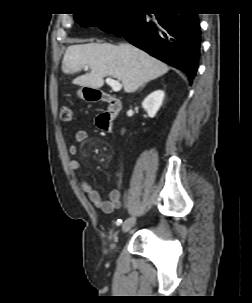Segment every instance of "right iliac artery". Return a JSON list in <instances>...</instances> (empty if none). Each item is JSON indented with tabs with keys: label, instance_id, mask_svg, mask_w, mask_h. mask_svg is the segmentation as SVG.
I'll list each match as a JSON object with an SVG mask.
<instances>
[{
	"label": "right iliac artery",
	"instance_id": "82829eb1",
	"mask_svg": "<svg viewBox=\"0 0 252 303\" xmlns=\"http://www.w3.org/2000/svg\"><path fill=\"white\" fill-rule=\"evenodd\" d=\"M121 222H122V220L118 219L116 223H117L118 225H120Z\"/></svg>",
	"mask_w": 252,
	"mask_h": 303
}]
</instances>
